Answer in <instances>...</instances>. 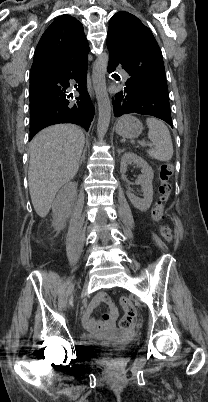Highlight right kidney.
I'll list each match as a JSON object with an SVG mask.
<instances>
[{
	"instance_id": "1",
	"label": "right kidney",
	"mask_w": 208,
	"mask_h": 402,
	"mask_svg": "<svg viewBox=\"0 0 208 402\" xmlns=\"http://www.w3.org/2000/svg\"><path fill=\"white\" fill-rule=\"evenodd\" d=\"M76 196V182H67V184L63 186L62 190L58 192L52 204V226L55 228V230H57V232H59V230H63L67 218L71 216L75 206Z\"/></svg>"
}]
</instances>
